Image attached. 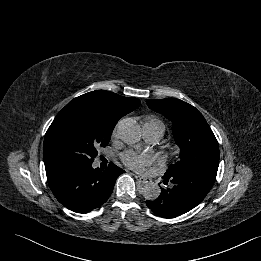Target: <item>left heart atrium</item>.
Here are the masks:
<instances>
[{
	"mask_svg": "<svg viewBox=\"0 0 261 261\" xmlns=\"http://www.w3.org/2000/svg\"><path fill=\"white\" fill-rule=\"evenodd\" d=\"M122 160L127 167L136 171L143 170L151 162V158L148 155L133 151L125 152L122 155Z\"/></svg>",
	"mask_w": 261,
	"mask_h": 261,
	"instance_id": "obj_1",
	"label": "left heart atrium"
}]
</instances>
